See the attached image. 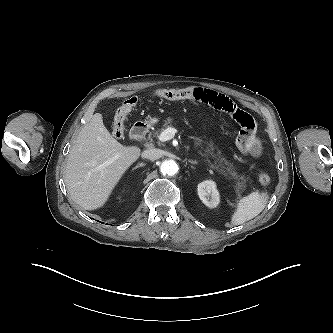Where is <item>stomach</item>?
Masks as SVG:
<instances>
[{
  "label": "stomach",
  "mask_w": 333,
  "mask_h": 333,
  "mask_svg": "<svg viewBox=\"0 0 333 333\" xmlns=\"http://www.w3.org/2000/svg\"><path fill=\"white\" fill-rule=\"evenodd\" d=\"M151 123H156L158 121V118L154 117L149 120Z\"/></svg>",
  "instance_id": "stomach-1"
}]
</instances>
